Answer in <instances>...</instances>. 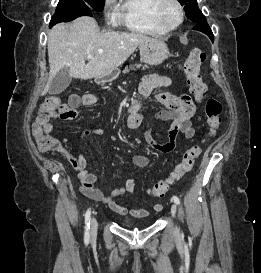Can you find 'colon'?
I'll use <instances>...</instances> for the list:
<instances>
[{
  "label": "colon",
  "mask_w": 261,
  "mask_h": 273,
  "mask_svg": "<svg viewBox=\"0 0 261 273\" xmlns=\"http://www.w3.org/2000/svg\"><path fill=\"white\" fill-rule=\"evenodd\" d=\"M205 59V54L200 48H194L183 63V72L186 76V83L190 92L198 100L206 95V84L200 73V66ZM80 103L77 95L69 99L68 104H63L60 98L50 97L46 99L39 108L32 124V134L41 151H53L60 149L59 141L46 128L48 117L53 112H58L60 119L71 120L77 116L75 107ZM207 127L210 135H214L221 125V104L218 100L210 98L205 104ZM202 147L193 145L185 151L181 161L174 167L166 179L155 183L149 194L154 197H161L167 193L173 183L178 181L193 168L195 160L200 156Z\"/></svg>",
  "instance_id": "1"
}]
</instances>
